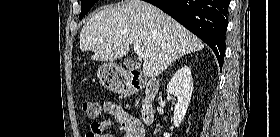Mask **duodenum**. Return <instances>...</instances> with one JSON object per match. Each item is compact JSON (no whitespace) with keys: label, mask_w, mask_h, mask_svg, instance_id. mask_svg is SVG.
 Here are the masks:
<instances>
[{"label":"duodenum","mask_w":280,"mask_h":137,"mask_svg":"<svg viewBox=\"0 0 280 137\" xmlns=\"http://www.w3.org/2000/svg\"><path fill=\"white\" fill-rule=\"evenodd\" d=\"M132 91H142L141 116L145 124H153L155 121L154 99L159 92L160 84L154 79L141 80L137 76H132L129 81Z\"/></svg>","instance_id":"1"}]
</instances>
